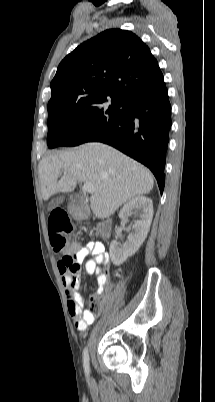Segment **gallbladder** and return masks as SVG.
I'll return each instance as SVG.
<instances>
[{"label": "gallbladder", "mask_w": 215, "mask_h": 402, "mask_svg": "<svg viewBox=\"0 0 215 402\" xmlns=\"http://www.w3.org/2000/svg\"><path fill=\"white\" fill-rule=\"evenodd\" d=\"M63 200H64L63 197H59V198H56V199L52 200V202L49 204V209L55 208V207L58 206L60 203H62ZM69 200H70L71 202H73V203H76V204H81V203H83V201H84V200H83V197L80 196L79 194L70 195V196H69Z\"/></svg>", "instance_id": "obj_1"}]
</instances>
